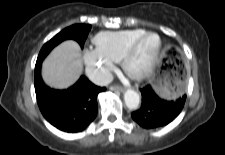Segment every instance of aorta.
I'll return each mask as SVG.
<instances>
[{
	"instance_id": "obj_1",
	"label": "aorta",
	"mask_w": 225,
	"mask_h": 155,
	"mask_svg": "<svg viewBox=\"0 0 225 155\" xmlns=\"http://www.w3.org/2000/svg\"><path fill=\"white\" fill-rule=\"evenodd\" d=\"M124 101L127 108L131 110H135L140 105V96L139 94L134 90H127L124 93Z\"/></svg>"
}]
</instances>
